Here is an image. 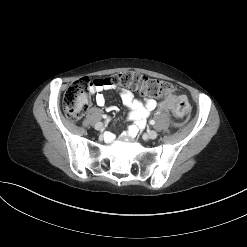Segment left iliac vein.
<instances>
[{"instance_id":"1","label":"left iliac vein","mask_w":247,"mask_h":247,"mask_svg":"<svg viewBox=\"0 0 247 247\" xmlns=\"http://www.w3.org/2000/svg\"><path fill=\"white\" fill-rule=\"evenodd\" d=\"M157 136H158V133L154 130H150L147 132V137L149 139H155V138H157Z\"/></svg>"}]
</instances>
